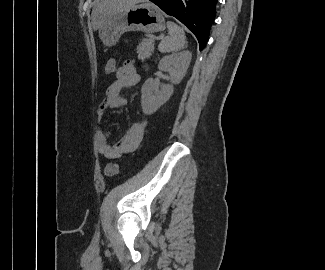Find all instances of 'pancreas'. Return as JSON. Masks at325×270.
Listing matches in <instances>:
<instances>
[{
    "label": "pancreas",
    "mask_w": 325,
    "mask_h": 270,
    "mask_svg": "<svg viewBox=\"0 0 325 270\" xmlns=\"http://www.w3.org/2000/svg\"><path fill=\"white\" fill-rule=\"evenodd\" d=\"M154 50V45L151 42L150 39H143L138 47H137V53H138V58L141 60H144L150 56V54Z\"/></svg>",
    "instance_id": "pancreas-1"
}]
</instances>
